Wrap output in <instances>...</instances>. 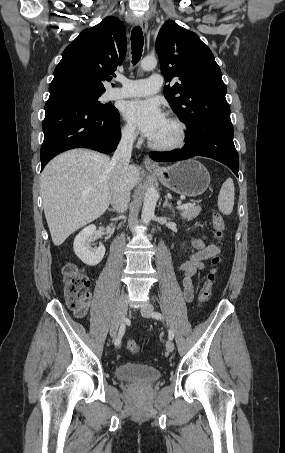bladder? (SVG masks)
<instances>
[{
    "mask_svg": "<svg viewBox=\"0 0 285 453\" xmlns=\"http://www.w3.org/2000/svg\"><path fill=\"white\" fill-rule=\"evenodd\" d=\"M115 375L118 379L138 384H149L157 381L161 373L155 367L138 364L124 363L115 369Z\"/></svg>",
    "mask_w": 285,
    "mask_h": 453,
    "instance_id": "obj_1",
    "label": "bladder"
}]
</instances>
